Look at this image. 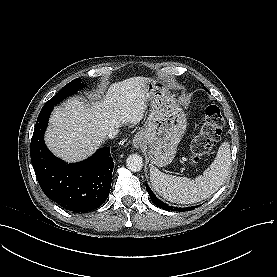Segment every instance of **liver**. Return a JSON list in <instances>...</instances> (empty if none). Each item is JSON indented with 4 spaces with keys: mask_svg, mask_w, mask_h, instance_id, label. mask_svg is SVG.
Instances as JSON below:
<instances>
[{
    "mask_svg": "<svg viewBox=\"0 0 277 277\" xmlns=\"http://www.w3.org/2000/svg\"><path fill=\"white\" fill-rule=\"evenodd\" d=\"M145 82V77L129 78L111 84L104 98L92 105L71 98L55 108L45 133L47 147L67 162L91 156L112 129L143 119L151 96Z\"/></svg>",
    "mask_w": 277,
    "mask_h": 277,
    "instance_id": "obj_1",
    "label": "liver"
}]
</instances>
